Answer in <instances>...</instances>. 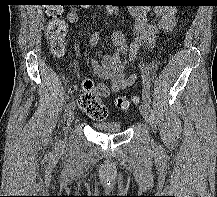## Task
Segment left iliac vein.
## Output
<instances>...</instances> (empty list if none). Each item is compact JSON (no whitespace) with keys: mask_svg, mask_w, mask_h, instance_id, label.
I'll use <instances>...</instances> for the list:
<instances>
[{"mask_svg":"<svg viewBox=\"0 0 217 197\" xmlns=\"http://www.w3.org/2000/svg\"><path fill=\"white\" fill-rule=\"evenodd\" d=\"M140 113L146 122L149 121V108L145 103H142L139 107Z\"/></svg>","mask_w":217,"mask_h":197,"instance_id":"obj_1","label":"left iliac vein"}]
</instances>
